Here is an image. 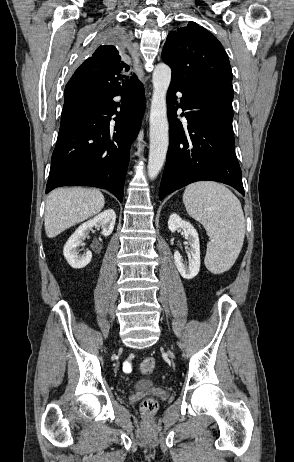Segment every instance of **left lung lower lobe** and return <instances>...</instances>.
Here are the masks:
<instances>
[{
    "label": "left lung lower lobe",
    "instance_id": "1",
    "mask_svg": "<svg viewBox=\"0 0 294 462\" xmlns=\"http://www.w3.org/2000/svg\"><path fill=\"white\" fill-rule=\"evenodd\" d=\"M176 91L183 96L177 102ZM233 89L226 84L184 87L171 81L167 92L170 144L159 198L192 182L212 180L234 187L242 195L244 188L235 156L233 135ZM182 108L188 122L183 127L177 118Z\"/></svg>",
    "mask_w": 294,
    "mask_h": 462
}]
</instances>
